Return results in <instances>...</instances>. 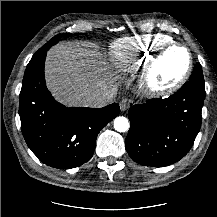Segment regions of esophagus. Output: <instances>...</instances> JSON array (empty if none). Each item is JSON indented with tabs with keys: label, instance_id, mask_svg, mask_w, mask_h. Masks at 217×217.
Segmentation results:
<instances>
[{
	"label": "esophagus",
	"instance_id": "obj_1",
	"mask_svg": "<svg viewBox=\"0 0 217 217\" xmlns=\"http://www.w3.org/2000/svg\"><path fill=\"white\" fill-rule=\"evenodd\" d=\"M133 105V101L128 98L122 99L120 102V109L121 111H127Z\"/></svg>",
	"mask_w": 217,
	"mask_h": 217
}]
</instances>
